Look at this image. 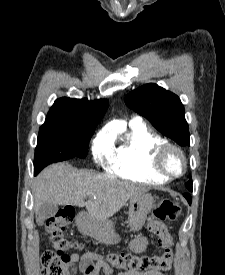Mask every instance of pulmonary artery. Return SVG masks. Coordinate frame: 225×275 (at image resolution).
<instances>
[{
	"mask_svg": "<svg viewBox=\"0 0 225 275\" xmlns=\"http://www.w3.org/2000/svg\"><path fill=\"white\" fill-rule=\"evenodd\" d=\"M141 122V118L140 117H135L133 120H132V123H140Z\"/></svg>",
	"mask_w": 225,
	"mask_h": 275,
	"instance_id": "pulmonary-artery-1",
	"label": "pulmonary artery"
}]
</instances>
